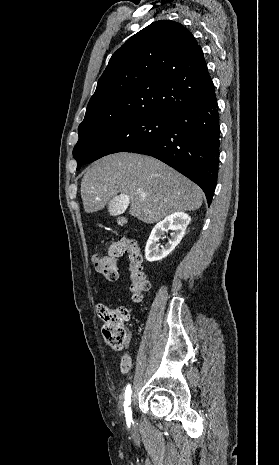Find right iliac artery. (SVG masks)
Here are the masks:
<instances>
[{
    "label": "right iliac artery",
    "mask_w": 279,
    "mask_h": 465,
    "mask_svg": "<svg viewBox=\"0 0 279 465\" xmlns=\"http://www.w3.org/2000/svg\"><path fill=\"white\" fill-rule=\"evenodd\" d=\"M131 395H132V390H131V385H127L126 390H125V402H124V408H125V416H126V421L128 424L132 421V410L129 405L131 404Z\"/></svg>",
    "instance_id": "1"
}]
</instances>
